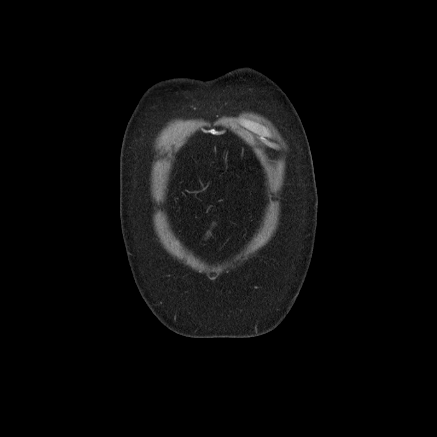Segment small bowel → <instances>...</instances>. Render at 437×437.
Returning <instances> with one entry per match:
<instances>
[{
  "label": "small bowel",
  "instance_id": "obj_1",
  "mask_svg": "<svg viewBox=\"0 0 437 437\" xmlns=\"http://www.w3.org/2000/svg\"><path fill=\"white\" fill-rule=\"evenodd\" d=\"M216 225H217L216 222H213V223L211 224V226H210L209 230L206 232V234H205L203 240H207L208 238L211 237V235H212V233H213V231H214Z\"/></svg>",
  "mask_w": 437,
  "mask_h": 437
}]
</instances>
